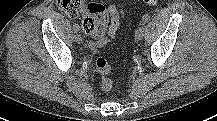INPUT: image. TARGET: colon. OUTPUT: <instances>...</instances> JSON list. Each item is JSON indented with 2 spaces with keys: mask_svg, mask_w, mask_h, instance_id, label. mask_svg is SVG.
Wrapping results in <instances>:
<instances>
[{
  "mask_svg": "<svg viewBox=\"0 0 217 121\" xmlns=\"http://www.w3.org/2000/svg\"><path fill=\"white\" fill-rule=\"evenodd\" d=\"M159 0H144L148 5H155ZM57 7L69 16H77L83 13L81 21L82 29L87 34L102 33L106 29L108 15L105 7L99 2L89 0H56ZM96 69L101 76V87L104 91L113 88L110 78L112 69L107 59L99 57L96 60Z\"/></svg>",
  "mask_w": 217,
  "mask_h": 121,
  "instance_id": "5ec220e1",
  "label": "colon"
}]
</instances>
